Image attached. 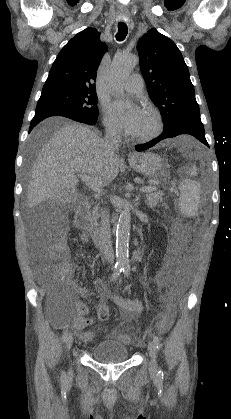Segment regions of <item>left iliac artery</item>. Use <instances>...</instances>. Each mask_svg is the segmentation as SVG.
Here are the masks:
<instances>
[{
  "label": "left iliac artery",
  "mask_w": 231,
  "mask_h": 419,
  "mask_svg": "<svg viewBox=\"0 0 231 419\" xmlns=\"http://www.w3.org/2000/svg\"><path fill=\"white\" fill-rule=\"evenodd\" d=\"M123 272H124L125 276H128V275H129V273H130V266H129V265H127V264H126V265H124V266H123ZM153 342H154V344H155L156 349L160 350V348H161V343H160V340H159L158 336H156V335H154V336H153ZM158 374H159V376H163V371L160 369V370L158 371Z\"/></svg>",
  "instance_id": "1"
}]
</instances>
